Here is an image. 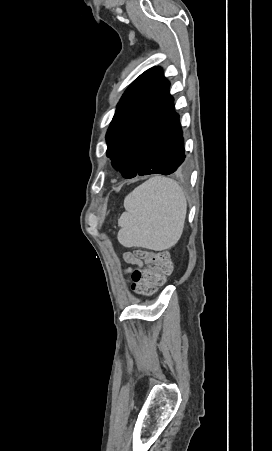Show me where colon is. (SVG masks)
Here are the masks:
<instances>
[{
	"label": "colon",
	"mask_w": 272,
	"mask_h": 451,
	"mask_svg": "<svg viewBox=\"0 0 272 451\" xmlns=\"http://www.w3.org/2000/svg\"><path fill=\"white\" fill-rule=\"evenodd\" d=\"M132 256L133 258H143L148 263L146 268L137 267L132 272L131 290L135 294H152L163 283L165 276L172 272L173 267L167 251L133 249Z\"/></svg>",
	"instance_id": "obj_1"
}]
</instances>
